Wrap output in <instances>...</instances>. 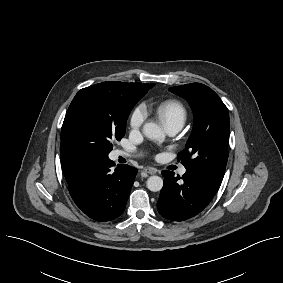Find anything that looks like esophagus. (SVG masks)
<instances>
[{
  "mask_svg": "<svg viewBox=\"0 0 283 283\" xmlns=\"http://www.w3.org/2000/svg\"><path fill=\"white\" fill-rule=\"evenodd\" d=\"M144 171L148 174H151V175H154V174L157 173V170L153 167H147V168L144 169Z\"/></svg>",
  "mask_w": 283,
  "mask_h": 283,
  "instance_id": "34e87169",
  "label": "esophagus"
}]
</instances>
